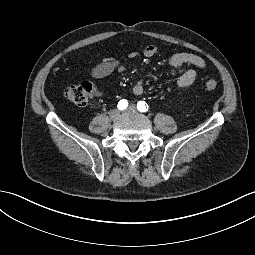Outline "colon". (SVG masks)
Wrapping results in <instances>:
<instances>
[{
  "label": "colon",
  "mask_w": 255,
  "mask_h": 255,
  "mask_svg": "<svg viewBox=\"0 0 255 255\" xmlns=\"http://www.w3.org/2000/svg\"><path fill=\"white\" fill-rule=\"evenodd\" d=\"M218 83L214 79H209L205 82V89L213 91L217 88ZM93 93V87L88 82L68 86L64 90V96L68 101L76 106H86Z\"/></svg>",
  "instance_id": "5ec220e1"
}]
</instances>
